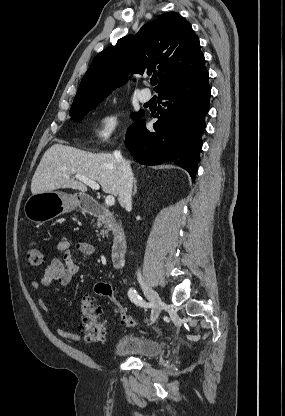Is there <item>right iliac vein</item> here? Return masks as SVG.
Here are the masks:
<instances>
[{"instance_id":"obj_1","label":"right iliac vein","mask_w":285,"mask_h":416,"mask_svg":"<svg viewBox=\"0 0 285 416\" xmlns=\"http://www.w3.org/2000/svg\"><path fill=\"white\" fill-rule=\"evenodd\" d=\"M139 283L141 285V288L148 298V300L153 305V312L151 315V321L152 323L155 322L163 308L164 302L158 295V293L145 281L139 280Z\"/></svg>"}]
</instances>
